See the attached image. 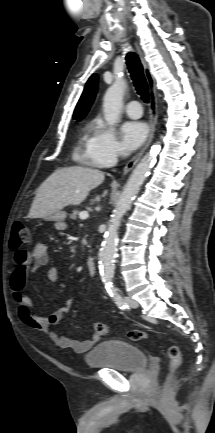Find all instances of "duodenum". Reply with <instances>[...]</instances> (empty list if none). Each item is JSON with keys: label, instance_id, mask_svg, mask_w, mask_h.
<instances>
[{"label": "duodenum", "instance_id": "duodenum-1", "mask_svg": "<svg viewBox=\"0 0 215 433\" xmlns=\"http://www.w3.org/2000/svg\"><path fill=\"white\" fill-rule=\"evenodd\" d=\"M86 267H87L88 272L92 276H96V274H97L96 264H95V261L91 257L87 258Z\"/></svg>", "mask_w": 215, "mask_h": 433}]
</instances>
